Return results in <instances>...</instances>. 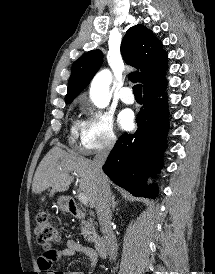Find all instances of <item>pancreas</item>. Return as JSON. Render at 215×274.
I'll return each mask as SVG.
<instances>
[{
    "instance_id": "1",
    "label": "pancreas",
    "mask_w": 215,
    "mask_h": 274,
    "mask_svg": "<svg viewBox=\"0 0 215 274\" xmlns=\"http://www.w3.org/2000/svg\"><path fill=\"white\" fill-rule=\"evenodd\" d=\"M82 234L88 242H93L97 238L96 228L93 221H83L81 225Z\"/></svg>"
}]
</instances>
